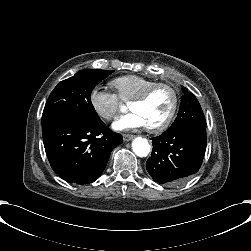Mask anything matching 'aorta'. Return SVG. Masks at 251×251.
<instances>
[{
  "mask_svg": "<svg viewBox=\"0 0 251 251\" xmlns=\"http://www.w3.org/2000/svg\"><path fill=\"white\" fill-rule=\"evenodd\" d=\"M132 150L139 157H146L151 150L148 140L142 137H136L132 141Z\"/></svg>",
  "mask_w": 251,
  "mask_h": 251,
  "instance_id": "obj_1",
  "label": "aorta"
}]
</instances>
